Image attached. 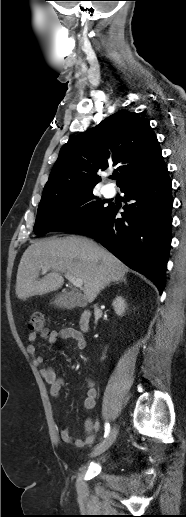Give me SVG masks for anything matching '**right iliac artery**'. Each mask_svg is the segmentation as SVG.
<instances>
[{
	"label": "right iliac artery",
	"mask_w": 186,
	"mask_h": 517,
	"mask_svg": "<svg viewBox=\"0 0 186 517\" xmlns=\"http://www.w3.org/2000/svg\"><path fill=\"white\" fill-rule=\"evenodd\" d=\"M110 433V424L109 423H105V437H107Z\"/></svg>",
	"instance_id": "82829eb1"
}]
</instances>
